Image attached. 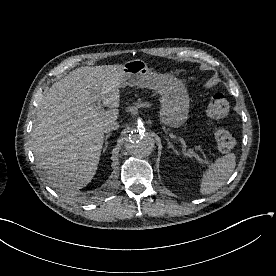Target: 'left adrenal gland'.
Wrapping results in <instances>:
<instances>
[{"instance_id":"left-adrenal-gland-1","label":"left adrenal gland","mask_w":276,"mask_h":276,"mask_svg":"<svg viewBox=\"0 0 276 276\" xmlns=\"http://www.w3.org/2000/svg\"><path fill=\"white\" fill-rule=\"evenodd\" d=\"M166 140H167L168 145H169L168 148H172V149L174 150V152H175L176 154H178L177 150L174 148V146H173L172 143L169 141V139L166 138Z\"/></svg>"}]
</instances>
